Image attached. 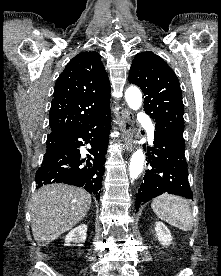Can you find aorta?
<instances>
[{
	"label": "aorta",
	"mask_w": 221,
	"mask_h": 276,
	"mask_svg": "<svg viewBox=\"0 0 221 276\" xmlns=\"http://www.w3.org/2000/svg\"><path fill=\"white\" fill-rule=\"evenodd\" d=\"M128 106L133 110H138L142 104V94L137 87H129L125 92ZM144 154L142 149H137L130 159L129 175L132 179H137L143 170Z\"/></svg>",
	"instance_id": "762f6f07"
}]
</instances>
